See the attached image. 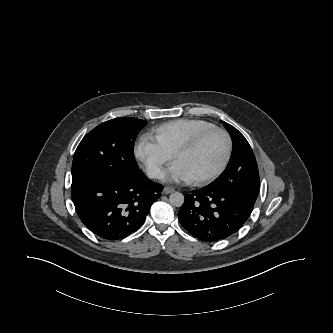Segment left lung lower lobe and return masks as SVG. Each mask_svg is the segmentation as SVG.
I'll use <instances>...</instances> for the list:
<instances>
[{"mask_svg": "<svg viewBox=\"0 0 333 333\" xmlns=\"http://www.w3.org/2000/svg\"><path fill=\"white\" fill-rule=\"evenodd\" d=\"M254 204L228 189L208 185L185 195L178 218L183 228L194 237L217 242L243 226Z\"/></svg>", "mask_w": 333, "mask_h": 333, "instance_id": "obj_1", "label": "left lung lower lobe"}]
</instances>
